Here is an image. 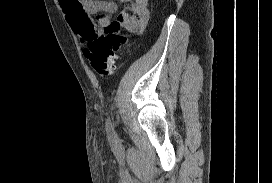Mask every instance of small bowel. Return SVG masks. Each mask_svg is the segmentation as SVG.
<instances>
[{"instance_id": "1", "label": "small bowel", "mask_w": 272, "mask_h": 183, "mask_svg": "<svg viewBox=\"0 0 272 183\" xmlns=\"http://www.w3.org/2000/svg\"><path fill=\"white\" fill-rule=\"evenodd\" d=\"M118 1L125 3L127 8L117 15L116 21L110 19L117 10L114 1L60 0V5L74 33L88 43L100 34H110V30H133L136 36V31L145 29L149 19L148 0ZM114 22L120 25H111ZM111 34L114 36L116 33L113 31ZM124 34L129 36L131 33L126 31Z\"/></svg>"}]
</instances>
